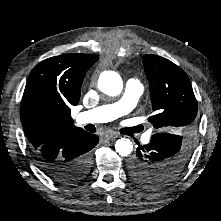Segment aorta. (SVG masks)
<instances>
[{
    "mask_svg": "<svg viewBox=\"0 0 221 221\" xmlns=\"http://www.w3.org/2000/svg\"><path fill=\"white\" fill-rule=\"evenodd\" d=\"M99 89L109 96H117L123 88L120 75L114 71H104L98 79ZM115 150L121 156H128L133 150V144L128 138L118 139L115 143Z\"/></svg>",
    "mask_w": 221,
    "mask_h": 221,
    "instance_id": "1",
    "label": "aorta"
}]
</instances>
